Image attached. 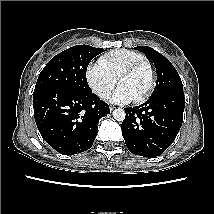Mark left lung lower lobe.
<instances>
[{
	"mask_svg": "<svg viewBox=\"0 0 214 214\" xmlns=\"http://www.w3.org/2000/svg\"><path fill=\"white\" fill-rule=\"evenodd\" d=\"M185 107L183 89H171L125 108L122 134L128 150L143 157L161 155L175 140Z\"/></svg>",
	"mask_w": 214,
	"mask_h": 214,
	"instance_id": "1",
	"label": "left lung lower lobe"
}]
</instances>
